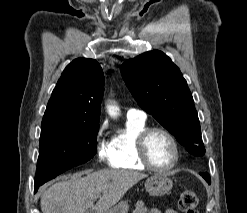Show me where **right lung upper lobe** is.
<instances>
[{
	"label": "right lung upper lobe",
	"instance_id": "cb5924a9",
	"mask_svg": "<svg viewBox=\"0 0 247 213\" xmlns=\"http://www.w3.org/2000/svg\"><path fill=\"white\" fill-rule=\"evenodd\" d=\"M104 75L89 58L73 60L63 71L48 102L42 124L99 125Z\"/></svg>",
	"mask_w": 247,
	"mask_h": 213
}]
</instances>
